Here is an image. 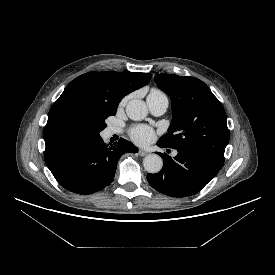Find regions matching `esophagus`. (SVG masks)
<instances>
[{"label": "esophagus", "mask_w": 275, "mask_h": 275, "mask_svg": "<svg viewBox=\"0 0 275 275\" xmlns=\"http://www.w3.org/2000/svg\"><path fill=\"white\" fill-rule=\"evenodd\" d=\"M138 153H139L140 156H146L148 154V152L145 151V150H139Z\"/></svg>", "instance_id": "1"}]
</instances>
